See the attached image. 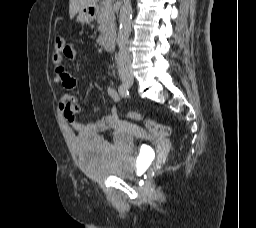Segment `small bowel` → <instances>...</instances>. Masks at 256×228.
<instances>
[{"instance_id": "obj_1", "label": "small bowel", "mask_w": 256, "mask_h": 228, "mask_svg": "<svg viewBox=\"0 0 256 228\" xmlns=\"http://www.w3.org/2000/svg\"><path fill=\"white\" fill-rule=\"evenodd\" d=\"M77 57L76 45L70 44L67 47L64 55L53 56L52 62L54 67V83L62 84L66 89L73 90L77 87V80L71 74H69L64 67L63 59L74 60ZM107 92L114 102H118L120 97L117 93L116 86L113 82H110L107 86ZM59 109L63 116L70 122L73 129L83 133H95L104 131L110 128H118L122 122L118 114L116 107H113L111 112L99 118L96 121L84 123L77 119V115L84 110L83 107L76 103L75 97L66 94L59 101ZM95 110H97L95 108Z\"/></svg>"}]
</instances>
